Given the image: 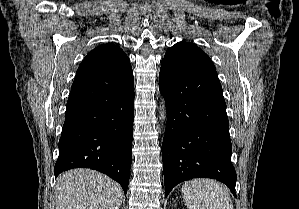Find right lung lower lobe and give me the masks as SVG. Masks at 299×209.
Returning a JSON list of instances; mask_svg holds the SVG:
<instances>
[{
	"label": "right lung lower lobe",
	"mask_w": 299,
	"mask_h": 209,
	"mask_svg": "<svg viewBox=\"0 0 299 209\" xmlns=\"http://www.w3.org/2000/svg\"><path fill=\"white\" fill-rule=\"evenodd\" d=\"M134 121L133 73L114 70L76 73L67 101L54 174L92 168L129 182Z\"/></svg>",
	"instance_id": "right-lung-lower-lobe-1"
}]
</instances>
